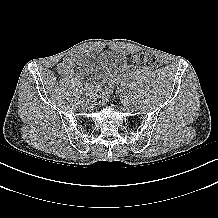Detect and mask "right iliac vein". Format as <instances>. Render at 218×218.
I'll list each match as a JSON object with an SVG mask.
<instances>
[{
  "label": "right iliac vein",
  "instance_id": "63e3f726",
  "mask_svg": "<svg viewBox=\"0 0 218 218\" xmlns=\"http://www.w3.org/2000/svg\"><path fill=\"white\" fill-rule=\"evenodd\" d=\"M86 99H87V96H86V95H83V96H82V100H81V101L83 102V103H82V108H83V109H87V108H88V104L85 103V102L87 101Z\"/></svg>",
  "mask_w": 218,
  "mask_h": 218
}]
</instances>
